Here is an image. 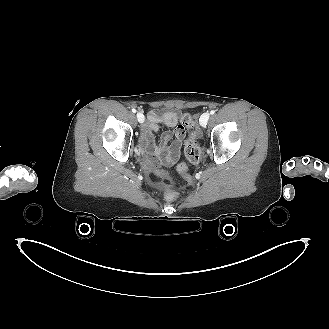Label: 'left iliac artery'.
I'll return each instance as SVG.
<instances>
[{
  "label": "left iliac artery",
  "instance_id": "obj_1",
  "mask_svg": "<svg viewBox=\"0 0 329 329\" xmlns=\"http://www.w3.org/2000/svg\"><path fill=\"white\" fill-rule=\"evenodd\" d=\"M215 113V110H211L210 114L213 115Z\"/></svg>",
  "mask_w": 329,
  "mask_h": 329
}]
</instances>
